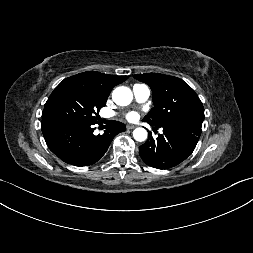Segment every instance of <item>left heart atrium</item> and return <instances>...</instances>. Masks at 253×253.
I'll use <instances>...</instances> for the list:
<instances>
[{
	"label": "left heart atrium",
	"instance_id": "left-heart-atrium-1",
	"mask_svg": "<svg viewBox=\"0 0 253 253\" xmlns=\"http://www.w3.org/2000/svg\"><path fill=\"white\" fill-rule=\"evenodd\" d=\"M139 117L138 113L135 111H131L125 114V118L128 121H135Z\"/></svg>",
	"mask_w": 253,
	"mask_h": 253
}]
</instances>
